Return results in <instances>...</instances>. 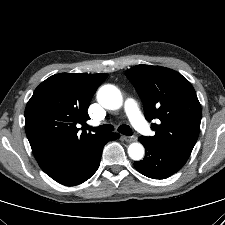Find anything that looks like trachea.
Masks as SVG:
<instances>
[{"instance_id":"trachea-1","label":"trachea","mask_w":225,"mask_h":225,"mask_svg":"<svg viewBox=\"0 0 225 225\" xmlns=\"http://www.w3.org/2000/svg\"><path fill=\"white\" fill-rule=\"evenodd\" d=\"M87 128H88V130L96 132V133H108V132H111L114 130V127L110 124H104V125H101L98 127L88 126ZM118 131L123 135H127V136L132 135L131 128L126 124L120 125L118 128Z\"/></svg>"}]
</instances>
